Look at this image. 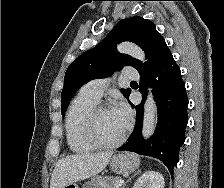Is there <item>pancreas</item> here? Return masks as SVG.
Instances as JSON below:
<instances>
[{"label":"pancreas","mask_w":224,"mask_h":188,"mask_svg":"<svg viewBox=\"0 0 224 188\" xmlns=\"http://www.w3.org/2000/svg\"><path fill=\"white\" fill-rule=\"evenodd\" d=\"M119 179V177L96 176L88 181L84 188H114V184Z\"/></svg>","instance_id":"cf45deb5"}]
</instances>
